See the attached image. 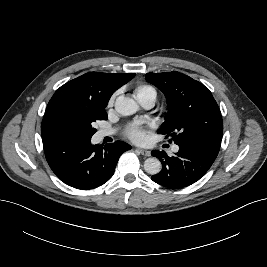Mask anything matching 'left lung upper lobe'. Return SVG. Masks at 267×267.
<instances>
[{"mask_svg": "<svg viewBox=\"0 0 267 267\" xmlns=\"http://www.w3.org/2000/svg\"><path fill=\"white\" fill-rule=\"evenodd\" d=\"M146 80L165 94L169 104L158 133L170 135L177 145L209 139L221 141V112L203 84L179 72L147 73Z\"/></svg>", "mask_w": 267, "mask_h": 267, "instance_id": "left-lung-upper-lobe-1", "label": "left lung upper lobe"}]
</instances>
